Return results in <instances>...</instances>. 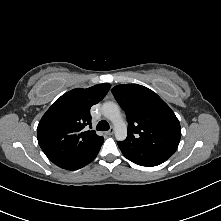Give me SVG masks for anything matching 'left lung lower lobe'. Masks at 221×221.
Returning <instances> with one entry per match:
<instances>
[{
	"label": "left lung lower lobe",
	"mask_w": 221,
	"mask_h": 221,
	"mask_svg": "<svg viewBox=\"0 0 221 221\" xmlns=\"http://www.w3.org/2000/svg\"><path fill=\"white\" fill-rule=\"evenodd\" d=\"M118 146L127 159L141 166H157L171 156L170 154L164 152L132 147L123 142H118Z\"/></svg>",
	"instance_id": "obj_1"
}]
</instances>
